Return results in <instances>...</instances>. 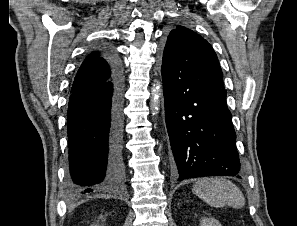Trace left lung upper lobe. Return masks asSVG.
I'll list each match as a JSON object with an SVG mask.
<instances>
[{"instance_id": "obj_1", "label": "left lung upper lobe", "mask_w": 297, "mask_h": 226, "mask_svg": "<svg viewBox=\"0 0 297 226\" xmlns=\"http://www.w3.org/2000/svg\"><path fill=\"white\" fill-rule=\"evenodd\" d=\"M161 72L190 88H223V73L213 48L200 35L182 26H177L168 36Z\"/></svg>"}]
</instances>
